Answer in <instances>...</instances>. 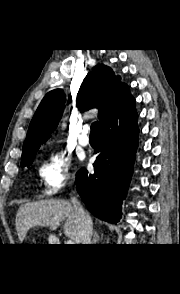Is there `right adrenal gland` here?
<instances>
[{
    "instance_id": "obj_1",
    "label": "right adrenal gland",
    "mask_w": 180,
    "mask_h": 294,
    "mask_svg": "<svg viewBox=\"0 0 180 294\" xmlns=\"http://www.w3.org/2000/svg\"><path fill=\"white\" fill-rule=\"evenodd\" d=\"M100 240L98 233L95 231L93 235V242L92 244H96Z\"/></svg>"
}]
</instances>
